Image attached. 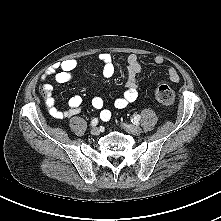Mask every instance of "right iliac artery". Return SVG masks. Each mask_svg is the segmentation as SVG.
<instances>
[{"label": "right iliac artery", "mask_w": 221, "mask_h": 221, "mask_svg": "<svg viewBox=\"0 0 221 221\" xmlns=\"http://www.w3.org/2000/svg\"><path fill=\"white\" fill-rule=\"evenodd\" d=\"M98 124V119L97 118H94L92 121H91V126H96Z\"/></svg>", "instance_id": "right-iliac-artery-1"}]
</instances>
